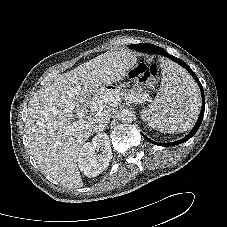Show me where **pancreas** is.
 <instances>
[{"label":"pancreas","instance_id":"pancreas-1","mask_svg":"<svg viewBox=\"0 0 227 227\" xmlns=\"http://www.w3.org/2000/svg\"><path fill=\"white\" fill-rule=\"evenodd\" d=\"M130 94L134 97L133 100L134 101H138L139 99H141L143 96L147 97V94L145 92H143L142 88L137 86V87H133L130 90Z\"/></svg>","mask_w":227,"mask_h":227}]
</instances>
